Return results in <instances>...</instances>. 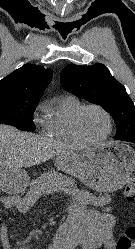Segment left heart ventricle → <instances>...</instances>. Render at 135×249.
Segmentation results:
<instances>
[{
    "label": "left heart ventricle",
    "instance_id": "1",
    "mask_svg": "<svg viewBox=\"0 0 135 249\" xmlns=\"http://www.w3.org/2000/svg\"><path fill=\"white\" fill-rule=\"evenodd\" d=\"M81 127L88 138L98 140L105 136L109 126L106 117L100 111L89 109L81 118Z\"/></svg>",
    "mask_w": 135,
    "mask_h": 249
}]
</instances>
